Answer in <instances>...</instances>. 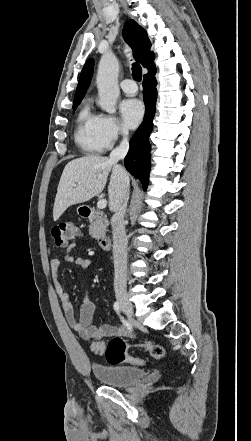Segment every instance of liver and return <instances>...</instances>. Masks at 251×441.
I'll return each instance as SVG.
<instances>
[{"label": "liver", "mask_w": 251, "mask_h": 441, "mask_svg": "<svg viewBox=\"0 0 251 441\" xmlns=\"http://www.w3.org/2000/svg\"><path fill=\"white\" fill-rule=\"evenodd\" d=\"M124 171L125 169L116 162L99 155L80 157L67 163L57 188L53 208L54 221H57L68 207L87 202L101 193L110 172L109 208L114 211L124 192Z\"/></svg>", "instance_id": "obj_1"}]
</instances>
